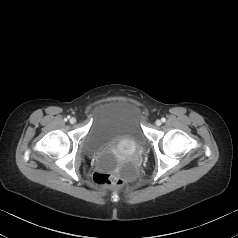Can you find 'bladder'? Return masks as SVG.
Masks as SVG:
<instances>
[{
	"label": "bladder",
	"instance_id": "31cf9c89",
	"mask_svg": "<svg viewBox=\"0 0 238 238\" xmlns=\"http://www.w3.org/2000/svg\"><path fill=\"white\" fill-rule=\"evenodd\" d=\"M88 119L83 149L99 167L106 168L114 163V150L120 144L140 148L146 143L144 108L134 100L115 98L101 101L90 109Z\"/></svg>",
	"mask_w": 238,
	"mask_h": 238
}]
</instances>
